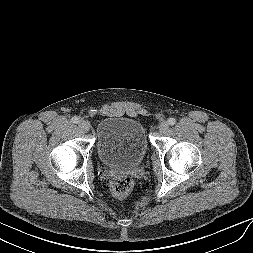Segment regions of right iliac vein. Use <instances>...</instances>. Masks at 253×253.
I'll return each mask as SVG.
<instances>
[{
  "instance_id": "1",
  "label": "right iliac vein",
  "mask_w": 253,
  "mask_h": 253,
  "mask_svg": "<svg viewBox=\"0 0 253 253\" xmlns=\"http://www.w3.org/2000/svg\"><path fill=\"white\" fill-rule=\"evenodd\" d=\"M78 127L82 132H88L89 131V123L85 120H80L78 123Z\"/></svg>"
}]
</instances>
